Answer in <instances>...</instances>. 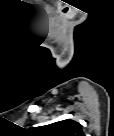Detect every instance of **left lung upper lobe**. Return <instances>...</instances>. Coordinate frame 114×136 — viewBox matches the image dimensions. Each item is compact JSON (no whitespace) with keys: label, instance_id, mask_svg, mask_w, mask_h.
I'll return each instance as SVG.
<instances>
[{"label":"left lung upper lobe","instance_id":"1","mask_svg":"<svg viewBox=\"0 0 114 136\" xmlns=\"http://www.w3.org/2000/svg\"><path fill=\"white\" fill-rule=\"evenodd\" d=\"M35 131L39 136H83L81 125L71 119L37 127Z\"/></svg>","mask_w":114,"mask_h":136}]
</instances>
